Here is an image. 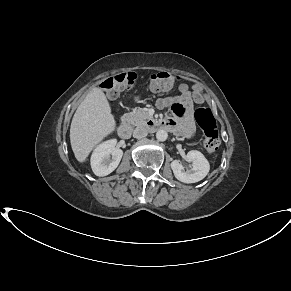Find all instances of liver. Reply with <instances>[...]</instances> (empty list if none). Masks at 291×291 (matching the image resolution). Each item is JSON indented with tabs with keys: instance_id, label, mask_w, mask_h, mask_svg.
<instances>
[{
	"instance_id": "1",
	"label": "liver",
	"mask_w": 291,
	"mask_h": 291,
	"mask_svg": "<svg viewBox=\"0 0 291 291\" xmlns=\"http://www.w3.org/2000/svg\"><path fill=\"white\" fill-rule=\"evenodd\" d=\"M116 129V121L104 92L93 88L78 106L70 126L75 158L83 163L90 152Z\"/></svg>"
}]
</instances>
